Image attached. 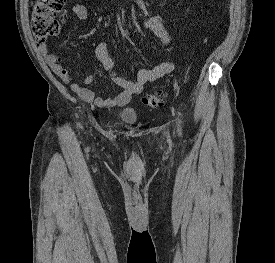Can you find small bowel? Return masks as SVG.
Segmentation results:
<instances>
[{
    "label": "small bowel",
    "instance_id": "c3829d8e",
    "mask_svg": "<svg viewBox=\"0 0 275 263\" xmlns=\"http://www.w3.org/2000/svg\"><path fill=\"white\" fill-rule=\"evenodd\" d=\"M71 12L79 20L88 18V8L83 4H75L71 7ZM143 26L152 31L164 46H169L171 36L163 25L161 19L156 15H148L143 21ZM39 51L43 54L46 63L52 71L83 100L94 103L97 107L109 109L112 107L126 106L131 98L140 95L144 86L155 80L172 74L175 65L171 61H162L153 68H142L138 72L137 80L132 81L121 76L116 68L114 60L109 53V45L106 41H100L95 47V54L101 62L102 70L109 73L110 81L120 87L122 91L114 98L95 97L93 92L87 87L95 81L94 75L87 76L82 83H74L70 72L63 66V58L50 52L45 43L38 45Z\"/></svg>",
    "mask_w": 275,
    "mask_h": 263
}]
</instances>
